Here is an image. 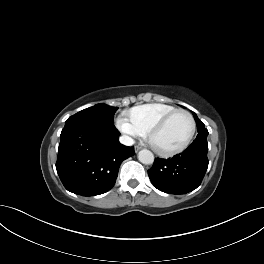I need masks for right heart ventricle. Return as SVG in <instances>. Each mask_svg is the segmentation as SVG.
I'll return each mask as SVG.
<instances>
[{
    "label": "right heart ventricle",
    "instance_id": "obj_1",
    "mask_svg": "<svg viewBox=\"0 0 264 264\" xmlns=\"http://www.w3.org/2000/svg\"><path fill=\"white\" fill-rule=\"evenodd\" d=\"M176 110V107L165 103H149L137 106L127 112V115L142 136L164 116Z\"/></svg>",
    "mask_w": 264,
    "mask_h": 264
}]
</instances>
